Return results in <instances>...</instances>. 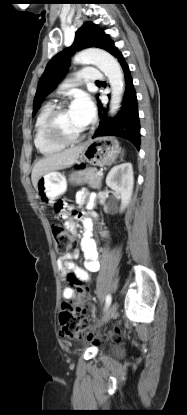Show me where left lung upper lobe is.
<instances>
[{"mask_svg": "<svg viewBox=\"0 0 187 415\" xmlns=\"http://www.w3.org/2000/svg\"><path fill=\"white\" fill-rule=\"evenodd\" d=\"M112 41L91 22L85 23L75 34L70 48L55 55L42 74L33 103V115L38 111L44 98L56 87L69 67L70 56L75 50L97 47L107 51Z\"/></svg>", "mask_w": 187, "mask_h": 415, "instance_id": "1", "label": "left lung upper lobe"}]
</instances>
